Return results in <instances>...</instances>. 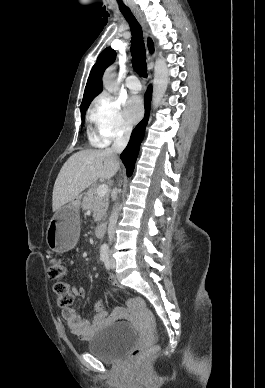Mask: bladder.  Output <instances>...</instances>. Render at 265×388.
<instances>
[{
  "mask_svg": "<svg viewBox=\"0 0 265 388\" xmlns=\"http://www.w3.org/2000/svg\"><path fill=\"white\" fill-rule=\"evenodd\" d=\"M136 338L137 332L130 323L112 324L92 338L88 351L103 360L115 361L136 343Z\"/></svg>",
  "mask_w": 265,
  "mask_h": 388,
  "instance_id": "bladder-1",
  "label": "bladder"
}]
</instances>
